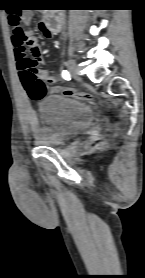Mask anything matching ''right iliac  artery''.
<instances>
[{
  "instance_id": "right-iliac-artery-1",
  "label": "right iliac artery",
  "mask_w": 145,
  "mask_h": 278,
  "mask_svg": "<svg viewBox=\"0 0 145 278\" xmlns=\"http://www.w3.org/2000/svg\"><path fill=\"white\" fill-rule=\"evenodd\" d=\"M62 77H63L65 80H70V79H71L70 73H69L67 70H63V72H62Z\"/></svg>"
}]
</instances>
